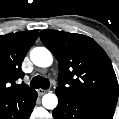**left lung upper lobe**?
Masks as SVG:
<instances>
[{
  "mask_svg": "<svg viewBox=\"0 0 119 119\" xmlns=\"http://www.w3.org/2000/svg\"><path fill=\"white\" fill-rule=\"evenodd\" d=\"M41 41L58 61L57 95L115 109L118 82L105 51L90 37L42 30Z\"/></svg>",
  "mask_w": 119,
  "mask_h": 119,
  "instance_id": "obj_1",
  "label": "left lung upper lobe"
}]
</instances>
